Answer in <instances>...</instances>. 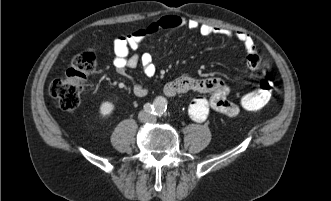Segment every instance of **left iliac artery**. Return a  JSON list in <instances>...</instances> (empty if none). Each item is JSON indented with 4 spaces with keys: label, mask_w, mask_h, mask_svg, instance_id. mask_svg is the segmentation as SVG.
Instances as JSON below:
<instances>
[{
    "label": "left iliac artery",
    "mask_w": 331,
    "mask_h": 201,
    "mask_svg": "<svg viewBox=\"0 0 331 201\" xmlns=\"http://www.w3.org/2000/svg\"><path fill=\"white\" fill-rule=\"evenodd\" d=\"M166 108H167V106H165V104L163 103V102H161V101H156L155 102V114H157V115H162L163 113H165V111H166Z\"/></svg>",
    "instance_id": "1"
}]
</instances>
